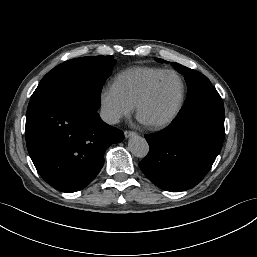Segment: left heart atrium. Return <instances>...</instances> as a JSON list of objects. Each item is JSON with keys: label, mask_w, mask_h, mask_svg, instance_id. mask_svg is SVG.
I'll use <instances>...</instances> for the list:
<instances>
[{"label": "left heart atrium", "mask_w": 257, "mask_h": 257, "mask_svg": "<svg viewBox=\"0 0 257 257\" xmlns=\"http://www.w3.org/2000/svg\"><path fill=\"white\" fill-rule=\"evenodd\" d=\"M139 120L143 123H146V121L141 116L139 117Z\"/></svg>", "instance_id": "39dd6f15"}]
</instances>
